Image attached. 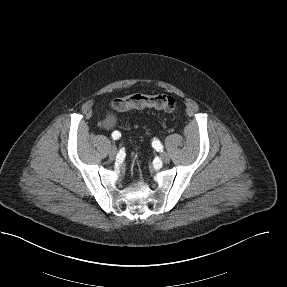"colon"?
<instances>
[{
	"mask_svg": "<svg viewBox=\"0 0 287 287\" xmlns=\"http://www.w3.org/2000/svg\"><path fill=\"white\" fill-rule=\"evenodd\" d=\"M112 107L116 112L145 108H155L166 112H172L176 108V100L167 94L148 95L135 93L114 99Z\"/></svg>",
	"mask_w": 287,
	"mask_h": 287,
	"instance_id": "colon-1",
	"label": "colon"
}]
</instances>
